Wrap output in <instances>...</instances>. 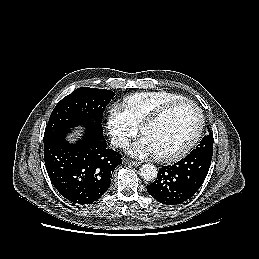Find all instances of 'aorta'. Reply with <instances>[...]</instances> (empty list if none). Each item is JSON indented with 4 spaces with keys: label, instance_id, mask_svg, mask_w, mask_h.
<instances>
[{
    "label": "aorta",
    "instance_id": "762f6f07",
    "mask_svg": "<svg viewBox=\"0 0 259 259\" xmlns=\"http://www.w3.org/2000/svg\"><path fill=\"white\" fill-rule=\"evenodd\" d=\"M157 172V168L153 164H144L140 168V176L147 181L155 179Z\"/></svg>",
    "mask_w": 259,
    "mask_h": 259
}]
</instances>
